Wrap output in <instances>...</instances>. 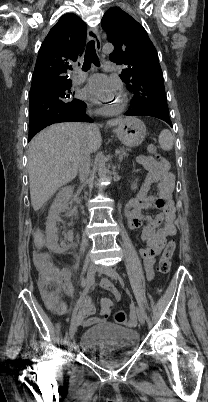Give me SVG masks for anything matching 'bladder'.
I'll return each mask as SVG.
<instances>
[{
  "instance_id": "1",
  "label": "bladder",
  "mask_w": 208,
  "mask_h": 402,
  "mask_svg": "<svg viewBox=\"0 0 208 402\" xmlns=\"http://www.w3.org/2000/svg\"><path fill=\"white\" fill-rule=\"evenodd\" d=\"M139 344L136 330L109 324H93L84 330L81 348H88L96 363L117 366L137 350Z\"/></svg>"
}]
</instances>
